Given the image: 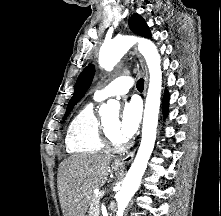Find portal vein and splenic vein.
Here are the masks:
<instances>
[{
    "label": "portal vein and splenic vein",
    "instance_id": "portal-vein-and-splenic-vein-1",
    "mask_svg": "<svg viewBox=\"0 0 221 216\" xmlns=\"http://www.w3.org/2000/svg\"><path fill=\"white\" fill-rule=\"evenodd\" d=\"M104 193H105V192L103 191V192L101 193V195L103 196V195H104Z\"/></svg>",
    "mask_w": 221,
    "mask_h": 216
}]
</instances>
